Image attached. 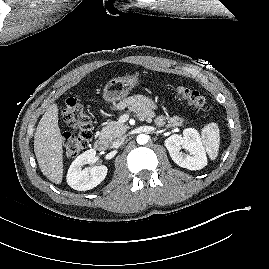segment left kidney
<instances>
[{
	"mask_svg": "<svg viewBox=\"0 0 269 269\" xmlns=\"http://www.w3.org/2000/svg\"><path fill=\"white\" fill-rule=\"evenodd\" d=\"M172 160L180 167L188 170H200L207 165V157L200 135L196 129L187 128L183 135L173 134L165 140ZM181 149L189 151V155Z\"/></svg>",
	"mask_w": 269,
	"mask_h": 269,
	"instance_id": "1",
	"label": "left kidney"
}]
</instances>
